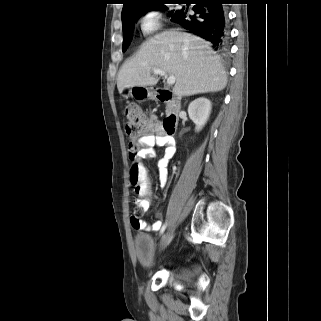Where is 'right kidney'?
Listing matches in <instances>:
<instances>
[{"instance_id":"obj_1","label":"right kidney","mask_w":321,"mask_h":321,"mask_svg":"<svg viewBox=\"0 0 321 321\" xmlns=\"http://www.w3.org/2000/svg\"><path fill=\"white\" fill-rule=\"evenodd\" d=\"M212 105L209 99L200 97L189 104L188 114L190 119L195 123V130L199 132L206 124Z\"/></svg>"}]
</instances>
